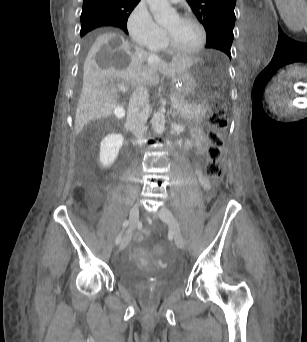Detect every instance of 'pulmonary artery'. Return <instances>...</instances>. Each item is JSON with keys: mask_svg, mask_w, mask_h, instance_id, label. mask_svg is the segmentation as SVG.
<instances>
[{"mask_svg": "<svg viewBox=\"0 0 307 342\" xmlns=\"http://www.w3.org/2000/svg\"><path fill=\"white\" fill-rule=\"evenodd\" d=\"M169 2L175 4V3H178V2H181V1H169Z\"/></svg>", "mask_w": 307, "mask_h": 342, "instance_id": "e3ab8cb5", "label": "pulmonary artery"}]
</instances>
